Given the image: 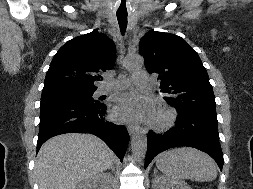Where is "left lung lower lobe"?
I'll return each instance as SVG.
<instances>
[{"label":"left lung lower lobe","mask_w":253,"mask_h":189,"mask_svg":"<svg viewBox=\"0 0 253 189\" xmlns=\"http://www.w3.org/2000/svg\"><path fill=\"white\" fill-rule=\"evenodd\" d=\"M175 127L164 135L148 133L145 168L159 153L178 146H189L209 154L222 170L224 159L219 143L217 116L196 111H177Z\"/></svg>","instance_id":"0a47b994"}]
</instances>
